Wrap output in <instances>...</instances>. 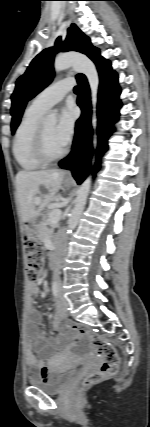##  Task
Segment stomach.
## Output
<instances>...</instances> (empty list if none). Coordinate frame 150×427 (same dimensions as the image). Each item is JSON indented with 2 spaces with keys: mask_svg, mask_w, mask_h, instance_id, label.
I'll use <instances>...</instances> for the list:
<instances>
[{
  "mask_svg": "<svg viewBox=\"0 0 150 427\" xmlns=\"http://www.w3.org/2000/svg\"><path fill=\"white\" fill-rule=\"evenodd\" d=\"M65 183H66V187H68V188L73 185L71 182H68V181H66Z\"/></svg>",
  "mask_w": 150,
  "mask_h": 427,
  "instance_id": "1",
  "label": "stomach"
}]
</instances>
